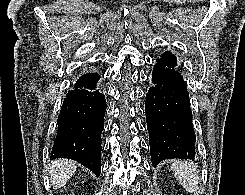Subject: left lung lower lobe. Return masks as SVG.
Listing matches in <instances>:
<instances>
[{
	"mask_svg": "<svg viewBox=\"0 0 245 195\" xmlns=\"http://www.w3.org/2000/svg\"><path fill=\"white\" fill-rule=\"evenodd\" d=\"M145 102L152 165L169 158H195V133L186 83L176 66L158 59Z\"/></svg>",
	"mask_w": 245,
	"mask_h": 195,
	"instance_id": "1",
	"label": "left lung lower lobe"
}]
</instances>
